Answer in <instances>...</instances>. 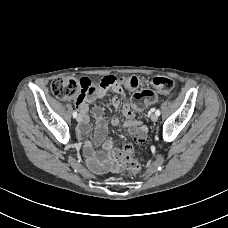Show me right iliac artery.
Segmentation results:
<instances>
[{
    "label": "right iliac artery",
    "mask_w": 228,
    "mask_h": 228,
    "mask_svg": "<svg viewBox=\"0 0 228 228\" xmlns=\"http://www.w3.org/2000/svg\"><path fill=\"white\" fill-rule=\"evenodd\" d=\"M73 117H74V118L77 117V112H76V111L73 112Z\"/></svg>",
    "instance_id": "obj_1"
}]
</instances>
